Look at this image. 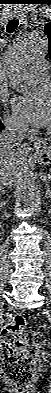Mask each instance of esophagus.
I'll use <instances>...</instances> for the list:
<instances>
[{
  "instance_id": "1",
  "label": "esophagus",
  "mask_w": 51,
  "mask_h": 393,
  "mask_svg": "<svg viewBox=\"0 0 51 393\" xmlns=\"http://www.w3.org/2000/svg\"><path fill=\"white\" fill-rule=\"evenodd\" d=\"M34 141H35V143H34L35 148H39L42 145V140L35 138Z\"/></svg>"
}]
</instances>
